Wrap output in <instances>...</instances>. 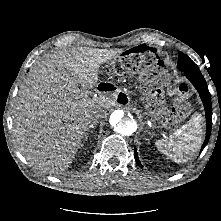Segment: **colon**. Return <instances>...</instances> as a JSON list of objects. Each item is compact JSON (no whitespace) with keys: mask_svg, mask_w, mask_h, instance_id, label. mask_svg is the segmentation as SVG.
Masks as SVG:
<instances>
[{"mask_svg":"<svg viewBox=\"0 0 221 221\" xmlns=\"http://www.w3.org/2000/svg\"><path fill=\"white\" fill-rule=\"evenodd\" d=\"M153 60L154 55L151 53V51L148 48L141 46L129 51L128 53H125L111 68V72L115 74H123L126 72L131 63H137L141 66H151ZM178 91L179 98L176 101V110L179 112V114H184L187 110V106L183 99L186 92V87L181 85L178 88Z\"/></svg>","mask_w":221,"mask_h":221,"instance_id":"1","label":"colon"}]
</instances>
